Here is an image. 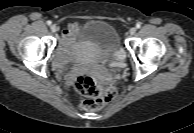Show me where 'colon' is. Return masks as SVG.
I'll list each match as a JSON object with an SVG mask.
<instances>
[{
	"instance_id": "5ec220e1",
	"label": "colon",
	"mask_w": 194,
	"mask_h": 133,
	"mask_svg": "<svg viewBox=\"0 0 194 133\" xmlns=\"http://www.w3.org/2000/svg\"><path fill=\"white\" fill-rule=\"evenodd\" d=\"M75 91L86 97L81 106L88 111H95L103 108L116 96V90L112 86H101L90 76L81 74L74 81Z\"/></svg>"
}]
</instances>
